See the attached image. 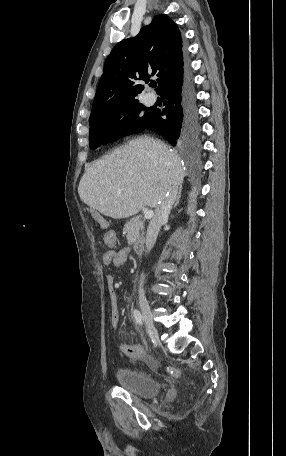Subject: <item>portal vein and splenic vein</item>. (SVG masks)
<instances>
[{
	"instance_id": "18ae733b",
	"label": "portal vein and splenic vein",
	"mask_w": 286,
	"mask_h": 456,
	"mask_svg": "<svg viewBox=\"0 0 286 456\" xmlns=\"http://www.w3.org/2000/svg\"><path fill=\"white\" fill-rule=\"evenodd\" d=\"M153 215H154V213H153L152 210H146L145 213H144V217H145L146 219L151 218Z\"/></svg>"
}]
</instances>
